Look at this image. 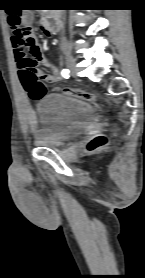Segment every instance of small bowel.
I'll list each match as a JSON object with an SVG mask.
<instances>
[{
    "label": "small bowel",
    "instance_id": "1",
    "mask_svg": "<svg viewBox=\"0 0 145 278\" xmlns=\"http://www.w3.org/2000/svg\"><path fill=\"white\" fill-rule=\"evenodd\" d=\"M21 19L24 24H31L33 15L31 11L25 10L21 14ZM42 31L49 35L50 32L41 24ZM14 56L16 60L18 80L27 95V97L37 100L46 91L45 83L54 82L57 79L56 72L52 66H49V71H40L39 64L47 63L42 53L38 40L34 36H30V43L23 46L21 41L13 36ZM67 95L76 97L72 94ZM31 128L36 127V119L34 115L29 118Z\"/></svg>",
    "mask_w": 145,
    "mask_h": 278
}]
</instances>
